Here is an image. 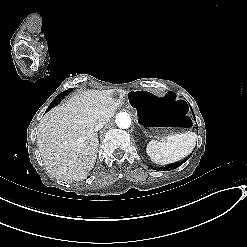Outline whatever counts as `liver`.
Here are the masks:
<instances>
[{
  "mask_svg": "<svg viewBox=\"0 0 247 247\" xmlns=\"http://www.w3.org/2000/svg\"><path fill=\"white\" fill-rule=\"evenodd\" d=\"M120 107L108 90H91L45 114L38 125L37 143L48 173L67 182L84 180L98 154L94 128L98 122L108 123Z\"/></svg>",
  "mask_w": 247,
  "mask_h": 247,
  "instance_id": "1",
  "label": "liver"
}]
</instances>
